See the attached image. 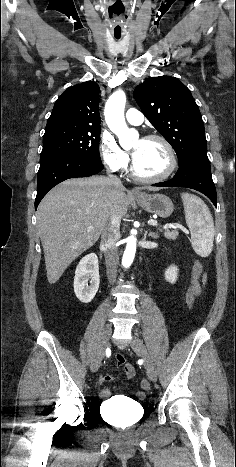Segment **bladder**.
Returning a JSON list of instances; mask_svg holds the SVG:
<instances>
[{"label": "bladder", "mask_w": 236, "mask_h": 467, "mask_svg": "<svg viewBox=\"0 0 236 467\" xmlns=\"http://www.w3.org/2000/svg\"><path fill=\"white\" fill-rule=\"evenodd\" d=\"M99 409L117 428H128L135 425L144 413L141 403L119 397L103 401Z\"/></svg>", "instance_id": "1"}]
</instances>
